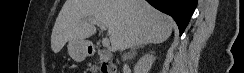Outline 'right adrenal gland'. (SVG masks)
<instances>
[{"mask_svg":"<svg viewBox=\"0 0 244 73\" xmlns=\"http://www.w3.org/2000/svg\"><path fill=\"white\" fill-rule=\"evenodd\" d=\"M146 44H142V45H139V46H137V47H133L132 49H131V52H135L136 51V49H138V48H143L144 46H145Z\"/></svg>","mask_w":244,"mask_h":73,"instance_id":"obj_1","label":"right adrenal gland"}]
</instances>
